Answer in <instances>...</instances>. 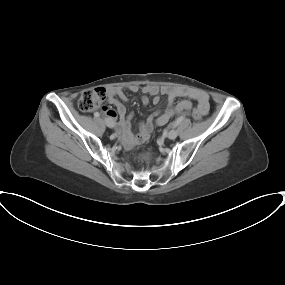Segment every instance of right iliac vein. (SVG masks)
<instances>
[{
	"label": "right iliac vein",
	"mask_w": 285,
	"mask_h": 285,
	"mask_svg": "<svg viewBox=\"0 0 285 285\" xmlns=\"http://www.w3.org/2000/svg\"><path fill=\"white\" fill-rule=\"evenodd\" d=\"M105 123H106V125L109 127V128H113L114 126H115V123H114V121L113 120H111V119H105Z\"/></svg>",
	"instance_id": "obj_1"
}]
</instances>
